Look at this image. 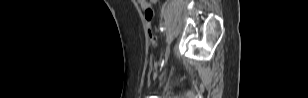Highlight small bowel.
<instances>
[{"mask_svg": "<svg viewBox=\"0 0 308 98\" xmlns=\"http://www.w3.org/2000/svg\"><path fill=\"white\" fill-rule=\"evenodd\" d=\"M156 0H151V1H147V0H138V4L139 6L143 9H152L153 5L155 4Z\"/></svg>", "mask_w": 308, "mask_h": 98, "instance_id": "1", "label": "small bowel"}]
</instances>
